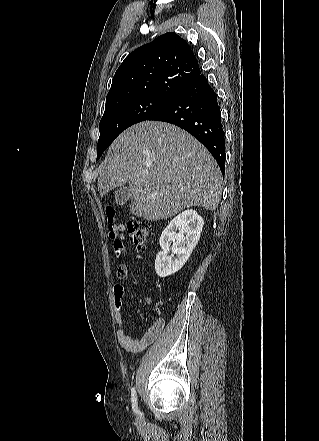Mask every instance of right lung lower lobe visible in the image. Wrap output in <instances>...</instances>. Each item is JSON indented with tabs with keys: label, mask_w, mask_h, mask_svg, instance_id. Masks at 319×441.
<instances>
[{
	"label": "right lung lower lobe",
	"mask_w": 319,
	"mask_h": 441,
	"mask_svg": "<svg viewBox=\"0 0 319 441\" xmlns=\"http://www.w3.org/2000/svg\"><path fill=\"white\" fill-rule=\"evenodd\" d=\"M148 120L181 127L198 139L225 171V134L217 94L200 74L186 84L169 104Z\"/></svg>",
	"instance_id": "1"
}]
</instances>
